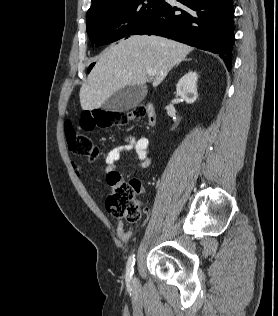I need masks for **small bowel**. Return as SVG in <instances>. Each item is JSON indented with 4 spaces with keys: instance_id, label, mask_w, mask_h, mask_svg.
I'll list each match as a JSON object with an SVG mask.
<instances>
[{
    "instance_id": "small-bowel-1",
    "label": "small bowel",
    "mask_w": 278,
    "mask_h": 316,
    "mask_svg": "<svg viewBox=\"0 0 278 316\" xmlns=\"http://www.w3.org/2000/svg\"><path fill=\"white\" fill-rule=\"evenodd\" d=\"M133 152L137 158V167L146 168L151 163L150 157V142L147 137L134 138L130 137L126 142L119 144L112 148L104 159L106 172L112 173L116 172L117 162L127 153ZM77 173L80 172L78 167H74ZM116 234L118 238L127 243L132 236V229L127 227L125 223L119 222L116 228Z\"/></svg>"
}]
</instances>
